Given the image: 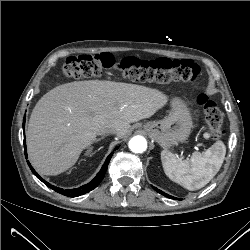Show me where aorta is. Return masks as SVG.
I'll return each instance as SVG.
<instances>
[{
  "label": "aorta",
  "instance_id": "762f6f07",
  "mask_svg": "<svg viewBox=\"0 0 250 250\" xmlns=\"http://www.w3.org/2000/svg\"><path fill=\"white\" fill-rule=\"evenodd\" d=\"M129 148L134 153H142L147 149V141L142 136H134L129 141Z\"/></svg>",
  "mask_w": 250,
  "mask_h": 250
}]
</instances>
